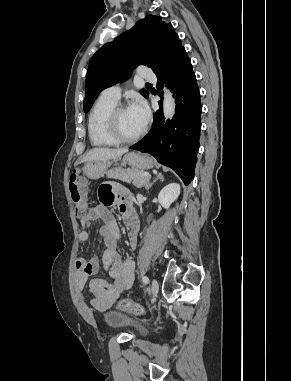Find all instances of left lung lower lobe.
Listing matches in <instances>:
<instances>
[{
    "label": "left lung lower lobe",
    "instance_id": "1",
    "mask_svg": "<svg viewBox=\"0 0 291 381\" xmlns=\"http://www.w3.org/2000/svg\"><path fill=\"white\" fill-rule=\"evenodd\" d=\"M174 93L176 111L164 121L162 110L154 114L152 130L131 149L149 153L172 168L188 185L194 176L201 130L200 93L191 61L184 48L156 75ZM161 102L159 105L161 106Z\"/></svg>",
    "mask_w": 291,
    "mask_h": 381
}]
</instances>
